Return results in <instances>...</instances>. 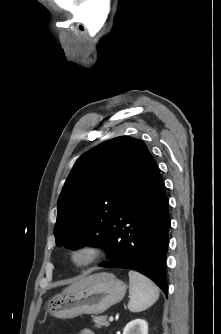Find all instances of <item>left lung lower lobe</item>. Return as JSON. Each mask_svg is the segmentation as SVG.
I'll list each match as a JSON object with an SVG mask.
<instances>
[{"label":"left lung lower lobe","mask_w":221,"mask_h":334,"mask_svg":"<svg viewBox=\"0 0 221 334\" xmlns=\"http://www.w3.org/2000/svg\"><path fill=\"white\" fill-rule=\"evenodd\" d=\"M168 206L165 184L154 161L115 217L107 246L109 261L99 266L136 270L153 280L167 296Z\"/></svg>","instance_id":"left-lung-lower-lobe-1"}]
</instances>
